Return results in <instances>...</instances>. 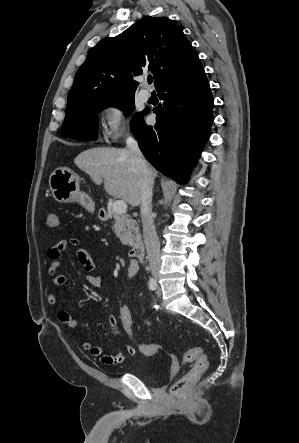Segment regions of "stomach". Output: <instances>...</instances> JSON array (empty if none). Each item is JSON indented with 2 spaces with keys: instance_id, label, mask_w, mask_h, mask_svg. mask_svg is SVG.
<instances>
[{
  "instance_id": "stomach-1",
  "label": "stomach",
  "mask_w": 299,
  "mask_h": 443,
  "mask_svg": "<svg viewBox=\"0 0 299 443\" xmlns=\"http://www.w3.org/2000/svg\"><path fill=\"white\" fill-rule=\"evenodd\" d=\"M80 177L67 167L56 168L49 178V186L53 198L59 203L78 202L93 211L92 199L80 191Z\"/></svg>"
}]
</instances>
